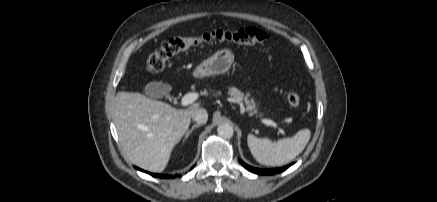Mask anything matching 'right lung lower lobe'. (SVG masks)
<instances>
[{
  "label": "right lung lower lobe",
  "instance_id": "obj_1",
  "mask_svg": "<svg viewBox=\"0 0 437 202\" xmlns=\"http://www.w3.org/2000/svg\"><path fill=\"white\" fill-rule=\"evenodd\" d=\"M136 169H139V168L136 167ZM139 170H141V169H139ZM147 173H149V172H147ZM149 174L152 175L153 177H160V178H168L169 177L168 175H163V174H153V173H149Z\"/></svg>",
  "mask_w": 437,
  "mask_h": 202
}]
</instances>
